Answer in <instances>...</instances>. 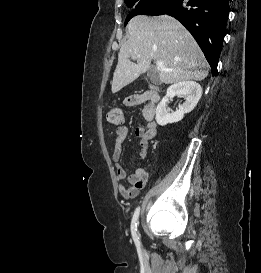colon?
<instances>
[{
  "label": "colon",
  "mask_w": 261,
  "mask_h": 273,
  "mask_svg": "<svg viewBox=\"0 0 261 273\" xmlns=\"http://www.w3.org/2000/svg\"><path fill=\"white\" fill-rule=\"evenodd\" d=\"M107 120L112 124H120L123 122V112L120 108H111L107 113Z\"/></svg>",
  "instance_id": "colon-1"
}]
</instances>
